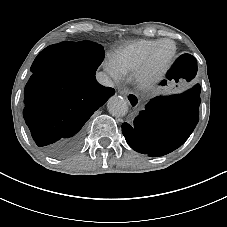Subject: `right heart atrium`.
Masks as SVG:
<instances>
[{
  "label": "right heart atrium",
  "instance_id": "1",
  "mask_svg": "<svg viewBox=\"0 0 227 227\" xmlns=\"http://www.w3.org/2000/svg\"><path fill=\"white\" fill-rule=\"evenodd\" d=\"M104 68L115 82H119L123 79L125 72L113 62L105 63Z\"/></svg>",
  "mask_w": 227,
  "mask_h": 227
}]
</instances>
